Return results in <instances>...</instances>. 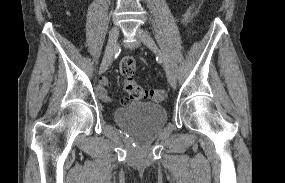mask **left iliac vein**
Returning <instances> with one entry per match:
<instances>
[{"label": "left iliac vein", "instance_id": "obj_1", "mask_svg": "<svg viewBox=\"0 0 285 183\" xmlns=\"http://www.w3.org/2000/svg\"><path fill=\"white\" fill-rule=\"evenodd\" d=\"M136 37L142 42L144 43L148 48H150L154 53H156L158 55V57L160 58L163 67L165 69L166 75H167V79L169 84L175 88L176 86V77L171 69L170 64L168 63L166 57L164 56V54L160 51V49L158 48L157 44L154 42V40L149 36L148 33H146L144 30L138 28L136 31Z\"/></svg>", "mask_w": 285, "mask_h": 183}]
</instances>
